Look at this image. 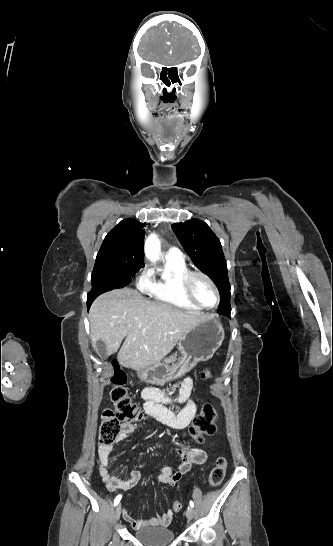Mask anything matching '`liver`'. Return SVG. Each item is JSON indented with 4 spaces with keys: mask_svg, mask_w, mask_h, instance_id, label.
Returning <instances> with one entry per match:
<instances>
[{
    "mask_svg": "<svg viewBox=\"0 0 333 546\" xmlns=\"http://www.w3.org/2000/svg\"><path fill=\"white\" fill-rule=\"evenodd\" d=\"M206 318L200 312L150 301L130 288L100 295L89 312L93 346L103 341L111 355L126 338L117 358L121 366L134 370L160 362L191 328Z\"/></svg>",
    "mask_w": 333,
    "mask_h": 546,
    "instance_id": "liver-1",
    "label": "liver"
}]
</instances>
